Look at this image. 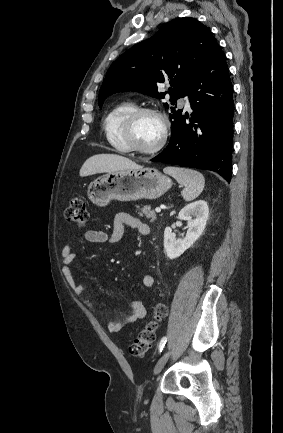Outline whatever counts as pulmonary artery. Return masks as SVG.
Here are the masks:
<instances>
[{"label":"pulmonary artery","instance_id":"e3ab8cb5","mask_svg":"<svg viewBox=\"0 0 283 433\" xmlns=\"http://www.w3.org/2000/svg\"><path fill=\"white\" fill-rule=\"evenodd\" d=\"M178 103L180 106L184 107L185 110H191V101L188 95H184L178 99Z\"/></svg>","mask_w":283,"mask_h":433}]
</instances>
